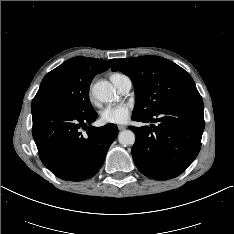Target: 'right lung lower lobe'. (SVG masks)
<instances>
[{"instance_id":"98d812e1","label":"right lung lower lobe","mask_w":234,"mask_h":234,"mask_svg":"<svg viewBox=\"0 0 234 234\" xmlns=\"http://www.w3.org/2000/svg\"><path fill=\"white\" fill-rule=\"evenodd\" d=\"M32 135L42 163L57 177L81 181L101 168L111 143L118 135L117 126L93 127L95 110L75 113L55 106L32 109ZM90 125V126H87ZM86 130L83 135L80 128Z\"/></svg>"}]
</instances>
